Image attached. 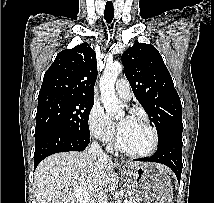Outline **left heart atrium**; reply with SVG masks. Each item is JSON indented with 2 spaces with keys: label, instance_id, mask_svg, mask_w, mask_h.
Returning a JSON list of instances; mask_svg holds the SVG:
<instances>
[{
  "label": "left heart atrium",
  "instance_id": "39dd6f15",
  "mask_svg": "<svg viewBox=\"0 0 214 203\" xmlns=\"http://www.w3.org/2000/svg\"><path fill=\"white\" fill-rule=\"evenodd\" d=\"M127 119H132L131 117H127Z\"/></svg>",
  "mask_w": 214,
  "mask_h": 203
}]
</instances>
